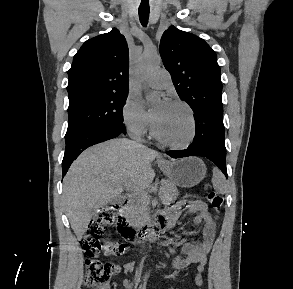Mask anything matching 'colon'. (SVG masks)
<instances>
[{
	"label": "colon",
	"instance_id": "colon-1",
	"mask_svg": "<svg viewBox=\"0 0 293 289\" xmlns=\"http://www.w3.org/2000/svg\"><path fill=\"white\" fill-rule=\"evenodd\" d=\"M207 200L216 212L221 211L223 199L218 193L208 192ZM116 211V207L100 210L89 222L86 233L80 241L87 257L85 284L88 289H107L111 278L118 272V267L114 263L97 258L102 249L108 254L118 256L124 255L127 251V247L122 243L101 240L105 228L112 223Z\"/></svg>",
	"mask_w": 293,
	"mask_h": 289
}]
</instances>
